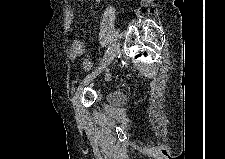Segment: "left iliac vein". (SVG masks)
<instances>
[{
    "label": "left iliac vein",
    "instance_id": "obj_1",
    "mask_svg": "<svg viewBox=\"0 0 225 159\" xmlns=\"http://www.w3.org/2000/svg\"><path fill=\"white\" fill-rule=\"evenodd\" d=\"M119 51L120 45L119 43H115L111 47L109 53L106 55L101 64L80 82L72 100L77 115H79V100L81 98V94L84 87L87 86L89 83H91L93 79L96 78L97 75H99L103 70H105L109 66V64L113 61V59L118 55Z\"/></svg>",
    "mask_w": 225,
    "mask_h": 159
}]
</instances>
